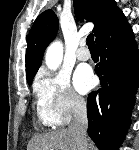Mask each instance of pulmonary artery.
<instances>
[{
  "label": "pulmonary artery",
  "instance_id": "obj_1",
  "mask_svg": "<svg viewBox=\"0 0 139 150\" xmlns=\"http://www.w3.org/2000/svg\"><path fill=\"white\" fill-rule=\"evenodd\" d=\"M76 57L80 61H87L91 58V53L85 46V41L80 42V47L77 50Z\"/></svg>",
  "mask_w": 139,
  "mask_h": 150
}]
</instances>
